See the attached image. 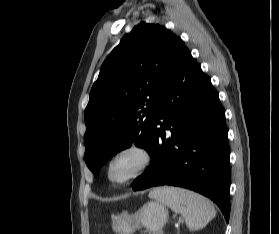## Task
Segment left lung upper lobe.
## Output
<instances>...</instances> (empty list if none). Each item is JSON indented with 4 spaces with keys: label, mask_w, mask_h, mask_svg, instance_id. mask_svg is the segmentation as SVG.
Returning a JSON list of instances; mask_svg holds the SVG:
<instances>
[{
    "label": "left lung upper lobe",
    "mask_w": 279,
    "mask_h": 234,
    "mask_svg": "<svg viewBox=\"0 0 279 234\" xmlns=\"http://www.w3.org/2000/svg\"><path fill=\"white\" fill-rule=\"evenodd\" d=\"M184 42L164 26L141 22L102 64L85 109V162L94 174L134 143L151 152L160 93Z\"/></svg>",
    "instance_id": "obj_1"
}]
</instances>
